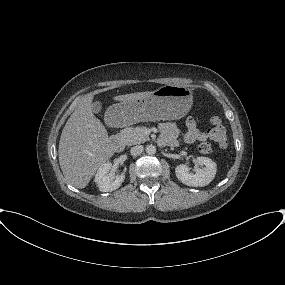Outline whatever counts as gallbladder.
I'll return each instance as SVG.
<instances>
[{"mask_svg":"<svg viewBox=\"0 0 285 285\" xmlns=\"http://www.w3.org/2000/svg\"><path fill=\"white\" fill-rule=\"evenodd\" d=\"M102 109V104L99 101H96L92 104V110L94 113H99Z\"/></svg>","mask_w":285,"mask_h":285,"instance_id":"1","label":"gallbladder"}]
</instances>
